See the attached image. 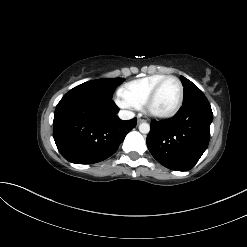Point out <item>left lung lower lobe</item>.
I'll use <instances>...</instances> for the list:
<instances>
[{"instance_id":"1","label":"left lung lower lobe","mask_w":247,"mask_h":247,"mask_svg":"<svg viewBox=\"0 0 247 247\" xmlns=\"http://www.w3.org/2000/svg\"><path fill=\"white\" fill-rule=\"evenodd\" d=\"M212 116L205 96L183 104L171 119L151 123L147 136L149 151L171 170L192 169L208 147Z\"/></svg>"}]
</instances>
